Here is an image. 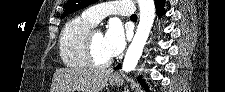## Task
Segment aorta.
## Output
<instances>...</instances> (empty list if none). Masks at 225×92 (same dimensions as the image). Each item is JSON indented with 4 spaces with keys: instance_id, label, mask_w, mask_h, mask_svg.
Here are the masks:
<instances>
[{
    "instance_id": "obj_1",
    "label": "aorta",
    "mask_w": 225,
    "mask_h": 92,
    "mask_svg": "<svg viewBox=\"0 0 225 92\" xmlns=\"http://www.w3.org/2000/svg\"><path fill=\"white\" fill-rule=\"evenodd\" d=\"M138 3L140 7L139 25L133 41L128 47L122 65L123 71L127 73L135 69L149 37L155 18L154 0H138Z\"/></svg>"
}]
</instances>
